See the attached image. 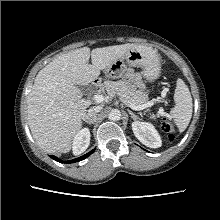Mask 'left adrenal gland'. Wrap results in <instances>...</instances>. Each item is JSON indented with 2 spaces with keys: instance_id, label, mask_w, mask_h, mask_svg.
Segmentation results:
<instances>
[{
  "instance_id": "1",
  "label": "left adrenal gland",
  "mask_w": 220,
  "mask_h": 220,
  "mask_svg": "<svg viewBox=\"0 0 220 220\" xmlns=\"http://www.w3.org/2000/svg\"><path fill=\"white\" fill-rule=\"evenodd\" d=\"M129 114H130V117L134 120L137 118V116L130 110H128Z\"/></svg>"
}]
</instances>
